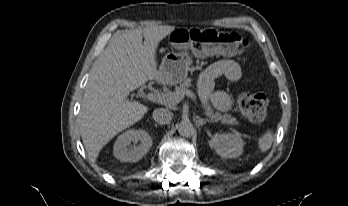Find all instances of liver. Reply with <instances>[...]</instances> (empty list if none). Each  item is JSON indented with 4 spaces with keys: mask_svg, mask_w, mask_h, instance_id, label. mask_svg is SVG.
Returning a JSON list of instances; mask_svg holds the SVG:
<instances>
[{
    "mask_svg": "<svg viewBox=\"0 0 348 206\" xmlns=\"http://www.w3.org/2000/svg\"><path fill=\"white\" fill-rule=\"evenodd\" d=\"M174 30L160 25L117 33L94 65L79 114V130L92 162L112 138L148 111L128 95L148 80H161L156 49Z\"/></svg>",
    "mask_w": 348,
    "mask_h": 206,
    "instance_id": "liver-1",
    "label": "liver"
}]
</instances>
